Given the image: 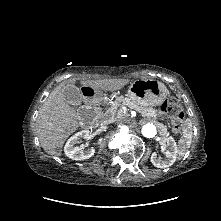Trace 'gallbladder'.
<instances>
[{
	"label": "gallbladder",
	"instance_id": "gallbladder-1",
	"mask_svg": "<svg viewBox=\"0 0 221 221\" xmlns=\"http://www.w3.org/2000/svg\"><path fill=\"white\" fill-rule=\"evenodd\" d=\"M63 97L71 105H79L83 100L81 91L74 85H70L64 89Z\"/></svg>",
	"mask_w": 221,
	"mask_h": 221
}]
</instances>
